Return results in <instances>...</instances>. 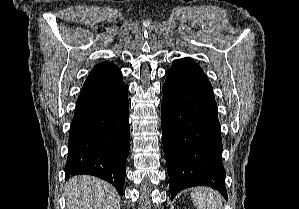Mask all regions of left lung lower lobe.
I'll return each instance as SVG.
<instances>
[{"label":"left lung lower lobe","instance_id":"left-lung-lower-lobe-1","mask_svg":"<svg viewBox=\"0 0 299 209\" xmlns=\"http://www.w3.org/2000/svg\"><path fill=\"white\" fill-rule=\"evenodd\" d=\"M162 100L163 149L171 199L182 189L205 185L227 199L222 141L213 88L190 58L166 72Z\"/></svg>","mask_w":299,"mask_h":209}]
</instances>
